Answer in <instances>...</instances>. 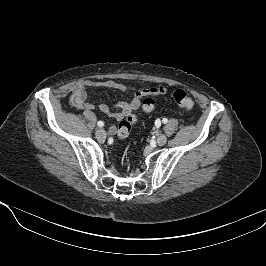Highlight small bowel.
I'll list each match as a JSON object with an SVG mask.
<instances>
[{
	"label": "small bowel",
	"instance_id": "1",
	"mask_svg": "<svg viewBox=\"0 0 266 266\" xmlns=\"http://www.w3.org/2000/svg\"><path fill=\"white\" fill-rule=\"evenodd\" d=\"M88 88H107L119 90L121 92H127L131 90L129 86L114 80L80 81L72 87L71 95V103L77 110L91 111L95 109V106L88 101ZM166 92L167 89L162 86L133 90V95L130 100L121 101L115 107H110L105 103H101L99 104V110L109 117H112L117 121H121L124 117L129 116L133 111L137 110L140 107L141 98L148 95H163ZM116 131V126L112 125L110 127V132L116 133Z\"/></svg>",
	"mask_w": 266,
	"mask_h": 266
}]
</instances>
